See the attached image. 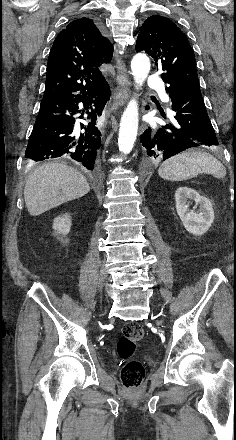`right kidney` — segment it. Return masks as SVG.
<instances>
[{
    "label": "right kidney",
    "instance_id": "obj_1",
    "mask_svg": "<svg viewBox=\"0 0 236 440\" xmlns=\"http://www.w3.org/2000/svg\"><path fill=\"white\" fill-rule=\"evenodd\" d=\"M71 227V217L69 214L56 217L53 222V229L55 234L66 235L69 233Z\"/></svg>",
    "mask_w": 236,
    "mask_h": 440
}]
</instances>
